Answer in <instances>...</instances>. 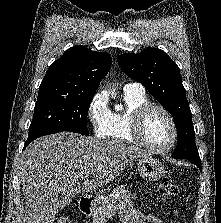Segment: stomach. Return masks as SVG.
I'll return each mask as SVG.
<instances>
[{
	"instance_id": "1",
	"label": "stomach",
	"mask_w": 221,
	"mask_h": 223,
	"mask_svg": "<svg viewBox=\"0 0 221 223\" xmlns=\"http://www.w3.org/2000/svg\"><path fill=\"white\" fill-rule=\"evenodd\" d=\"M137 170L139 175L146 181H158L165 175V169L161 162L152 156L139 158ZM101 199V197L97 198L99 201Z\"/></svg>"
}]
</instances>
